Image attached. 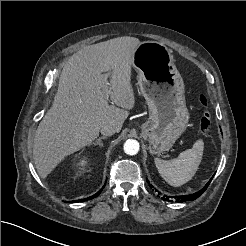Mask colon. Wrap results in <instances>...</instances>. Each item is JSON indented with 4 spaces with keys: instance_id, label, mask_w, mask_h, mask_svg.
<instances>
[{
    "instance_id": "5ec220e1",
    "label": "colon",
    "mask_w": 246,
    "mask_h": 246,
    "mask_svg": "<svg viewBox=\"0 0 246 246\" xmlns=\"http://www.w3.org/2000/svg\"><path fill=\"white\" fill-rule=\"evenodd\" d=\"M197 100L202 106H206V98L202 93L198 94ZM199 128L204 134H208L211 131V118L207 111H204L199 119Z\"/></svg>"
}]
</instances>
